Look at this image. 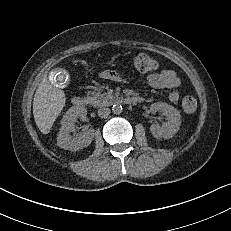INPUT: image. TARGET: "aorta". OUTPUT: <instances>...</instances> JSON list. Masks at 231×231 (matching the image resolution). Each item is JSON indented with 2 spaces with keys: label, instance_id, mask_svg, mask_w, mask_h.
Masks as SVG:
<instances>
[{
  "label": "aorta",
  "instance_id": "obj_1",
  "mask_svg": "<svg viewBox=\"0 0 231 231\" xmlns=\"http://www.w3.org/2000/svg\"><path fill=\"white\" fill-rule=\"evenodd\" d=\"M123 108H122V105L119 104V103H115L113 106H112V111L113 113L115 114H120L122 112Z\"/></svg>",
  "mask_w": 231,
  "mask_h": 231
}]
</instances>
